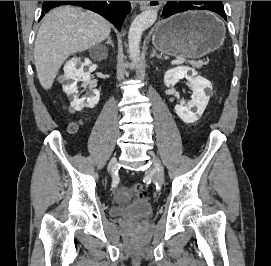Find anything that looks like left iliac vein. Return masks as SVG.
Returning <instances> with one entry per match:
<instances>
[{"label": "left iliac vein", "instance_id": "obj_1", "mask_svg": "<svg viewBox=\"0 0 271 266\" xmlns=\"http://www.w3.org/2000/svg\"><path fill=\"white\" fill-rule=\"evenodd\" d=\"M149 155L151 156L152 161H153V169L151 172L154 174V181L157 184L162 185L163 181H164L162 165H161L159 159L154 155L153 152L150 151Z\"/></svg>", "mask_w": 271, "mask_h": 266}]
</instances>
